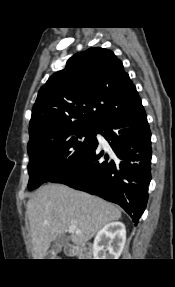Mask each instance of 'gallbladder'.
<instances>
[{
  "label": "gallbladder",
  "instance_id": "gallbladder-1",
  "mask_svg": "<svg viewBox=\"0 0 175 287\" xmlns=\"http://www.w3.org/2000/svg\"><path fill=\"white\" fill-rule=\"evenodd\" d=\"M69 241H70L69 235L67 234L59 235L53 243L52 250L49 252L48 258L51 259V257H53L52 251L57 252L59 248L65 246Z\"/></svg>",
  "mask_w": 175,
  "mask_h": 287
}]
</instances>
